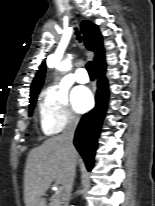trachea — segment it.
Returning <instances> with one entry per match:
<instances>
[{
    "instance_id": "3493384b",
    "label": "trachea",
    "mask_w": 155,
    "mask_h": 206,
    "mask_svg": "<svg viewBox=\"0 0 155 206\" xmlns=\"http://www.w3.org/2000/svg\"><path fill=\"white\" fill-rule=\"evenodd\" d=\"M76 35H77V39L81 40V36L79 35L78 31H76ZM86 68H87V71H88L89 75L91 77H94L95 74H96L94 62H92V61L88 62L87 65H86Z\"/></svg>"
}]
</instances>
